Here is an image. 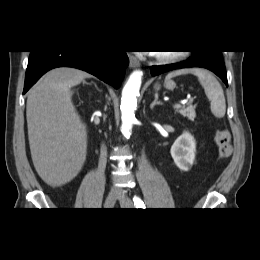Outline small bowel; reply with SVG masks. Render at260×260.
<instances>
[{
  "mask_svg": "<svg viewBox=\"0 0 260 260\" xmlns=\"http://www.w3.org/2000/svg\"><path fill=\"white\" fill-rule=\"evenodd\" d=\"M215 142L219 149V155L222 158L230 156L232 146L230 143V135L227 131H219L215 134Z\"/></svg>",
  "mask_w": 260,
  "mask_h": 260,
  "instance_id": "c3829d8e",
  "label": "small bowel"
}]
</instances>
